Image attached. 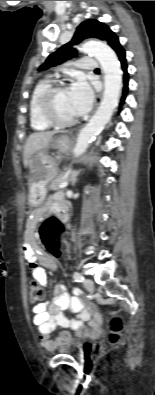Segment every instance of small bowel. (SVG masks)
Returning <instances> with one entry per match:
<instances>
[{"instance_id":"small-bowel-1","label":"small bowel","mask_w":155,"mask_h":395,"mask_svg":"<svg viewBox=\"0 0 155 395\" xmlns=\"http://www.w3.org/2000/svg\"><path fill=\"white\" fill-rule=\"evenodd\" d=\"M64 208L63 196L61 193L52 195L48 201L30 217V226L34 227L38 222L50 214H58ZM23 254L30 265L31 275L36 282L45 286L48 276L45 268L56 270L57 265L53 258L41 250L34 242L32 233L30 232L23 245ZM78 291H74V295H70L66 291L63 284L55 288V298L50 305L39 303L33 307V323L39 331L41 345L52 350L62 342L72 339L73 335L68 329H72L75 336L85 338L96 336L101 332L102 318L100 314L88 307L77 296ZM71 310L77 316L70 319L65 316V310ZM88 322V326L85 325ZM60 326L65 330L61 331L59 336L51 339V334Z\"/></svg>"}]
</instances>
